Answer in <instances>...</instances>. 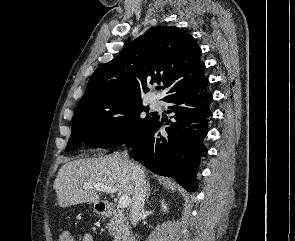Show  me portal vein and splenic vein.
Masks as SVG:
<instances>
[{
	"label": "portal vein and splenic vein",
	"mask_w": 295,
	"mask_h": 241,
	"mask_svg": "<svg viewBox=\"0 0 295 241\" xmlns=\"http://www.w3.org/2000/svg\"><path fill=\"white\" fill-rule=\"evenodd\" d=\"M84 189H96L105 193H109V194H113L114 192H116V188L113 186H109V185H102V184H87L83 186ZM131 202V198L129 196H122L119 199V203L118 206L120 208H126L127 206H129Z\"/></svg>",
	"instance_id": "1"
}]
</instances>
